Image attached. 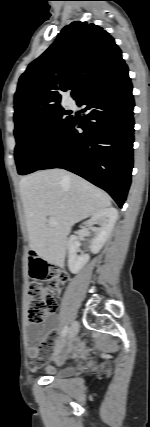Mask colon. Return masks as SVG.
<instances>
[{
    "label": "colon",
    "instance_id": "5ec220e1",
    "mask_svg": "<svg viewBox=\"0 0 150 427\" xmlns=\"http://www.w3.org/2000/svg\"><path fill=\"white\" fill-rule=\"evenodd\" d=\"M28 259L29 272L33 279L28 288V320L31 323H42L47 314L57 310L58 303L53 291L66 280L67 276L55 264L39 257L34 250H30ZM40 281H47L48 288H43Z\"/></svg>",
    "mask_w": 150,
    "mask_h": 427
}]
</instances>
